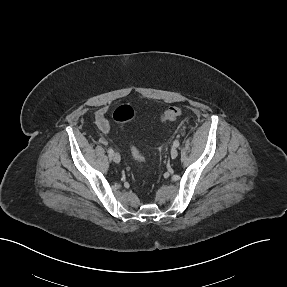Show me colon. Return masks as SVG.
I'll return each instance as SVG.
<instances>
[{
	"instance_id": "obj_1",
	"label": "colon",
	"mask_w": 287,
	"mask_h": 287,
	"mask_svg": "<svg viewBox=\"0 0 287 287\" xmlns=\"http://www.w3.org/2000/svg\"><path fill=\"white\" fill-rule=\"evenodd\" d=\"M182 113V110L178 106H171L163 111L159 118L163 123H170L175 121ZM136 116L134 109L128 105H121L117 107L113 113L114 120L122 125L126 122L133 120ZM130 157L137 163L143 162V157L133 146L129 149Z\"/></svg>"
}]
</instances>
